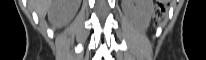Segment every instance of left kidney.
I'll list each match as a JSON object with an SVG mask.
<instances>
[{
	"instance_id": "5707ae66",
	"label": "left kidney",
	"mask_w": 206,
	"mask_h": 60,
	"mask_svg": "<svg viewBox=\"0 0 206 60\" xmlns=\"http://www.w3.org/2000/svg\"><path fill=\"white\" fill-rule=\"evenodd\" d=\"M133 2L136 3L135 6ZM123 8L125 13L133 17L141 28H147L153 12L152 0H123Z\"/></svg>"
}]
</instances>
